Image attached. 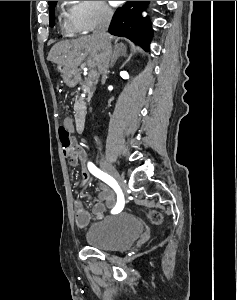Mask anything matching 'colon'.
Returning a JSON list of instances; mask_svg holds the SVG:
<instances>
[{"label": "colon", "mask_w": 237, "mask_h": 300, "mask_svg": "<svg viewBox=\"0 0 237 300\" xmlns=\"http://www.w3.org/2000/svg\"><path fill=\"white\" fill-rule=\"evenodd\" d=\"M59 137L64 151H69L77 145L70 132L63 125L59 128ZM149 218L155 224L160 223L162 219L157 211H151Z\"/></svg>", "instance_id": "5ec220e1"}]
</instances>
